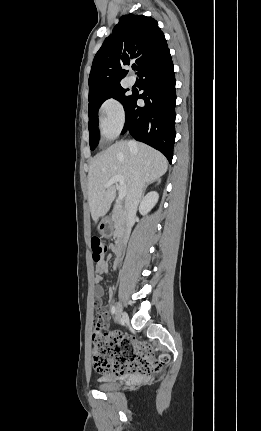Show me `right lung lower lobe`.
<instances>
[{
	"label": "right lung lower lobe",
	"instance_id": "1",
	"mask_svg": "<svg viewBox=\"0 0 261 431\" xmlns=\"http://www.w3.org/2000/svg\"><path fill=\"white\" fill-rule=\"evenodd\" d=\"M144 92H133L124 109L127 130L138 141L161 151L171 163L175 142V77L170 51L166 48L139 72ZM143 99L144 107L136 105Z\"/></svg>",
	"mask_w": 261,
	"mask_h": 431
}]
</instances>
